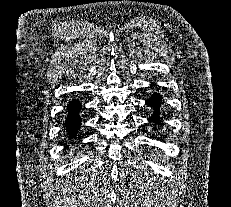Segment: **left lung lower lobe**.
I'll return each mask as SVG.
<instances>
[{
  "mask_svg": "<svg viewBox=\"0 0 231 207\" xmlns=\"http://www.w3.org/2000/svg\"><path fill=\"white\" fill-rule=\"evenodd\" d=\"M161 96L154 94L150 99L147 100V105H151L156 111H158V105L160 104ZM159 119V113L156 112L153 116L149 119L150 121L157 122Z\"/></svg>",
  "mask_w": 231,
  "mask_h": 207,
  "instance_id": "0a47b994",
  "label": "left lung lower lobe"
}]
</instances>
